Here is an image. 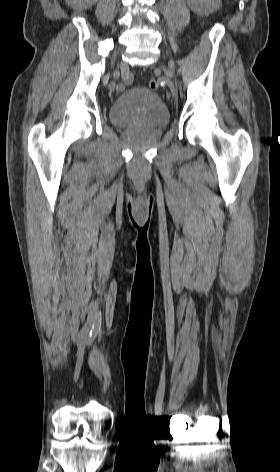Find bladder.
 <instances>
[{
	"label": "bladder",
	"instance_id": "31cf9c89",
	"mask_svg": "<svg viewBox=\"0 0 280 472\" xmlns=\"http://www.w3.org/2000/svg\"><path fill=\"white\" fill-rule=\"evenodd\" d=\"M109 118L118 127L162 129L169 122V112L156 93L143 87H133L113 101Z\"/></svg>",
	"mask_w": 280,
	"mask_h": 472
}]
</instances>
